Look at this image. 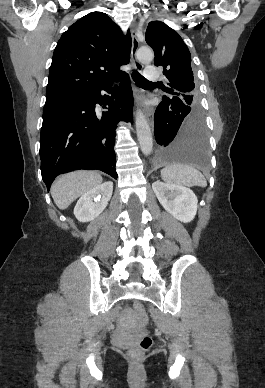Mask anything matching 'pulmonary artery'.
Masks as SVG:
<instances>
[{
    "mask_svg": "<svg viewBox=\"0 0 265 388\" xmlns=\"http://www.w3.org/2000/svg\"><path fill=\"white\" fill-rule=\"evenodd\" d=\"M158 66L157 64H148L147 71L142 72V79H149L151 82H156L158 80L157 74Z\"/></svg>",
    "mask_w": 265,
    "mask_h": 388,
    "instance_id": "obj_1",
    "label": "pulmonary artery"
}]
</instances>
